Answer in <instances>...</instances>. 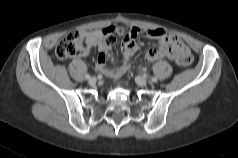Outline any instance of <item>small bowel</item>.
<instances>
[{
  "label": "small bowel",
  "instance_id": "small-bowel-1",
  "mask_svg": "<svg viewBox=\"0 0 238 158\" xmlns=\"http://www.w3.org/2000/svg\"><path fill=\"white\" fill-rule=\"evenodd\" d=\"M145 32L146 35L158 41L157 49H149L146 52V59L149 61H156L162 58H175L176 54L190 55L189 48L184 45L178 37L171 34L162 28H150L144 30L140 27H133L123 38L121 44L122 63L115 68H109L106 65L107 57L111 51V45L102 42L100 31H83L82 36L86 43V54L89 53L90 48H98V59L96 69L107 76L117 79L124 75L129 68V61L131 57L138 50L137 37L140 33Z\"/></svg>",
  "mask_w": 238,
  "mask_h": 158
}]
</instances>
